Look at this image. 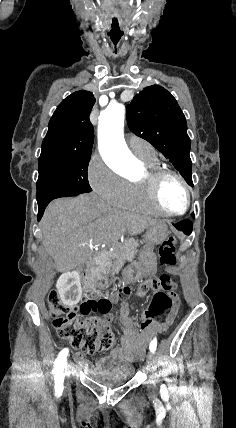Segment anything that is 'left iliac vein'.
<instances>
[{
  "instance_id": "4c4485c4",
  "label": "left iliac vein",
  "mask_w": 236,
  "mask_h": 428,
  "mask_svg": "<svg viewBox=\"0 0 236 428\" xmlns=\"http://www.w3.org/2000/svg\"><path fill=\"white\" fill-rule=\"evenodd\" d=\"M144 362L146 363V371H151L155 367V353H152V355L147 356L144 359Z\"/></svg>"
}]
</instances>
